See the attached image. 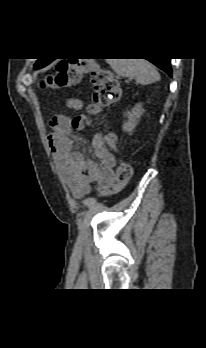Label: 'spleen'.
<instances>
[{"mask_svg":"<svg viewBox=\"0 0 206 348\" xmlns=\"http://www.w3.org/2000/svg\"><path fill=\"white\" fill-rule=\"evenodd\" d=\"M110 67L121 77L134 78L142 85L160 81L154 65L145 59H108Z\"/></svg>","mask_w":206,"mask_h":348,"instance_id":"1","label":"spleen"}]
</instances>
